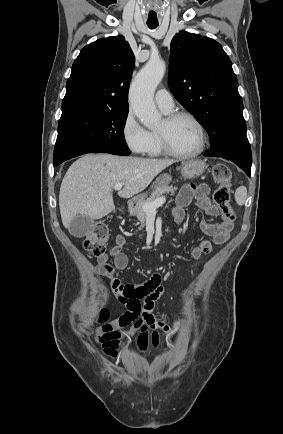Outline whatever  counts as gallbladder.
I'll list each match as a JSON object with an SVG mask.
<instances>
[{
    "mask_svg": "<svg viewBox=\"0 0 283 434\" xmlns=\"http://www.w3.org/2000/svg\"><path fill=\"white\" fill-rule=\"evenodd\" d=\"M95 226V222L93 219L78 215L75 219L70 223L69 232L72 236L81 238L89 234Z\"/></svg>",
    "mask_w": 283,
    "mask_h": 434,
    "instance_id": "bac80fb5",
    "label": "gallbladder"
}]
</instances>
